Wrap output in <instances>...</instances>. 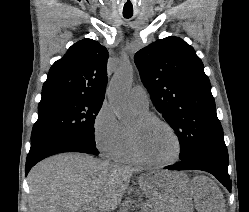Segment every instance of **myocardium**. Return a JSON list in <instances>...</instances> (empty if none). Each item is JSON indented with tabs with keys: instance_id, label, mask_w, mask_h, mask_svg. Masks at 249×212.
Wrapping results in <instances>:
<instances>
[{
	"instance_id": "1",
	"label": "myocardium",
	"mask_w": 249,
	"mask_h": 212,
	"mask_svg": "<svg viewBox=\"0 0 249 212\" xmlns=\"http://www.w3.org/2000/svg\"><path fill=\"white\" fill-rule=\"evenodd\" d=\"M138 121L142 125H149V124L157 123V124H160L163 127H165L175 137V139L177 141V145H178V152H177L176 157L171 161H166V162L151 161V160L147 159L139 151L137 144L135 142V139H134L131 131L129 130L128 131V143H129V147H130L131 153H132L135 161H137L138 163L143 164L145 166L154 167V168H166V167H170V166L177 164L181 160L182 155H183V143H182V140H181L178 132L175 130V128L166 120H164L160 117H157L155 115H141L138 118Z\"/></svg>"
}]
</instances>
